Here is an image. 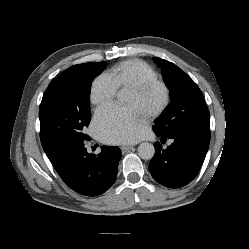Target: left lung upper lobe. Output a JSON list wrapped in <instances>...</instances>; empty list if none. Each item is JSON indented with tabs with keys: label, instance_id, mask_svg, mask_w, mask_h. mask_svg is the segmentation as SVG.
<instances>
[{
	"label": "left lung upper lobe",
	"instance_id": "left-lung-upper-lobe-1",
	"mask_svg": "<svg viewBox=\"0 0 249 249\" xmlns=\"http://www.w3.org/2000/svg\"><path fill=\"white\" fill-rule=\"evenodd\" d=\"M153 60L161 68L171 99L166 110L155 120L154 132L167 138L210 136V113L198 86L173 63L157 57Z\"/></svg>",
	"mask_w": 249,
	"mask_h": 249
}]
</instances>
